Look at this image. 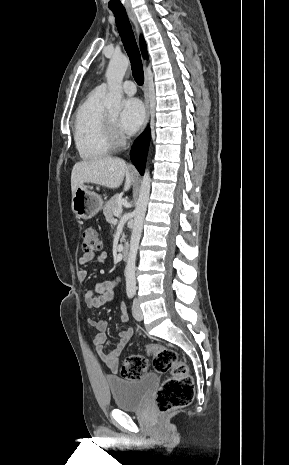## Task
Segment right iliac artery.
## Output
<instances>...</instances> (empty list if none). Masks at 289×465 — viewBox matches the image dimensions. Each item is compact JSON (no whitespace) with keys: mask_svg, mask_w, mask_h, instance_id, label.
<instances>
[{"mask_svg":"<svg viewBox=\"0 0 289 465\" xmlns=\"http://www.w3.org/2000/svg\"><path fill=\"white\" fill-rule=\"evenodd\" d=\"M133 295H134V294H133L132 292H129V293H128V297H129V298H132Z\"/></svg>","mask_w":289,"mask_h":465,"instance_id":"obj_1","label":"right iliac artery"}]
</instances>
